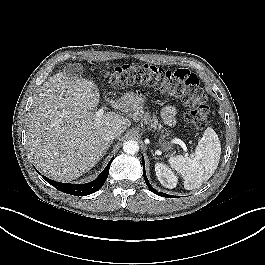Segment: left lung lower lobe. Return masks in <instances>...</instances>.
Segmentation results:
<instances>
[{"instance_id":"left-lung-lower-lobe-1","label":"left lung lower lobe","mask_w":265,"mask_h":265,"mask_svg":"<svg viewBox=\"0 0 265 265\" xmlns=\"http://www.w3.org/2000/svg\"><path fill=\"white\" fill-rule=\"evenodd\" d=\"M142 163H143V176H144V179H145V183L147 184L148 188L155 194H158L159 196H164V197H169L170 198V195L168 194H165V193H162V192H157L156 189H154L151 184L149 183L147 177H146V173H145V162H144V159L142 158Z\"/></svg>"}]
</instances>
